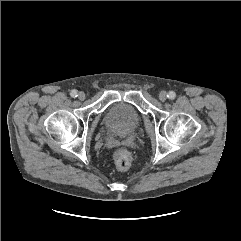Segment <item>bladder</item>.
Wrapping results in <instances>:
<instances>
[{
    "mask_svg": "<svg viewBox=\"0 0 241 241\" xmlns=\"http://www.w3.org/2000/svg\"><path fill=\"white\" fill-rule=\"evenodd\" d=\"M141 117L138 110L130 103L114 102L103 114L106 128L117 135H127L135 131L140 125Z\"/></svg>",
    "mask_w": 241,
    "mask_h": 241,
    "instance_id": "obj_1",
    "label": "bladder"
}]
</instances>
